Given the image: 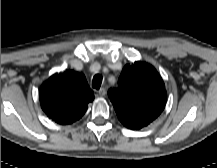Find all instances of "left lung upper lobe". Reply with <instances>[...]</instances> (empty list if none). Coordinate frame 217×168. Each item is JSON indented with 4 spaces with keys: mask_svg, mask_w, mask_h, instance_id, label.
Masks as SVG:
<instances>
[{
    "mask_svg": "<svg viewBox=\"0 0 217 168\" xmlns=\"http://www.w3.org/2000/svg\"><path fill=\"white\" fill-rule=\"evenodd\" d=\"M108 96L120 122L132 130L154 121L162 113L167 98L161 76L152 65L141 61L124 66L118 87L110 89Z\"/></svg>",
    "mask_w": 217,
    "mask_h": 168,
    "instance_id": "1",
    "label": "left lung upper lobe"
}]
</instances>
